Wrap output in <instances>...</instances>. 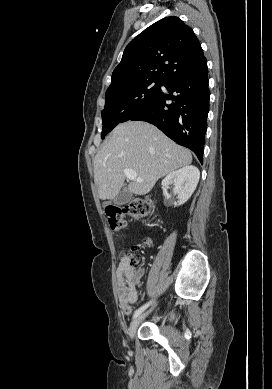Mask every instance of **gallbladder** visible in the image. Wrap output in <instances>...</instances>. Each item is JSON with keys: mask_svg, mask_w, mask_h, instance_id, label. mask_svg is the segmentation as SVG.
Returning <instances> with one entry per match:
<instances>
[{"mask_svg": "<svg viewBox=\"0 0 272 389\" xmlns=\"http://www.w3.org/2000/svg\"><path fill=\"white\" fill-rule=\"evenodd\" d=\"M132 194L127 187H124L118 195L114 198L113 203L115 205H124L131 200Z\"/></svg>", "mask_w": 272, "mask_h": 389, "instance_id": "1", "label": "gallbladder"}]
</instances>
